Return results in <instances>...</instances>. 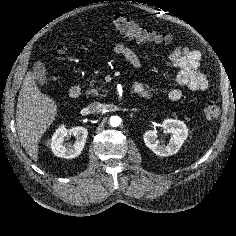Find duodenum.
I'll use <instances>...</instances> for the list:
<instances>
[{"label":"duodenum","mask_w":236,"mask_h":236,"mask_svg":"<svg viewBox=\"0 0 236 236\" xmlns=\"http://www.w3.org/2000/svg\"><path fill=\"white\" fill-rule=\"evenodd\" d=\"M81 94H82V89L80 85H74L69 90V96L72 99H78L81 96Z\"/></svg>","instance_id":"duodenum-1"}]
</instances>
